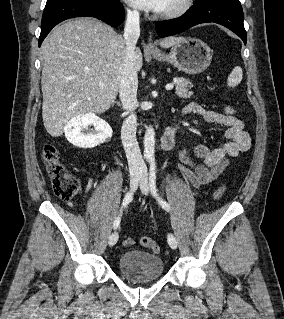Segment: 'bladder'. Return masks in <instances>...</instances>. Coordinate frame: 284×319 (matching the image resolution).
Listing matches in <instances>:
<instances>
[{"label": "bladder", "instance_id": "bladder-1", "mask_svg": "<svg viewBox=\"0 0 284 319\" xmlns=\"http://www.w3.org/2000/svg\"><path fill=\"white\" fill-rule=\"evenodd\" d=\"M121 274L133 282H150L159 278L164 270L163 260L155 254L129 250L121 254L118 260Z\"/></svg>", "mask_w": 284, "mask_h": 319}]
</instances>
